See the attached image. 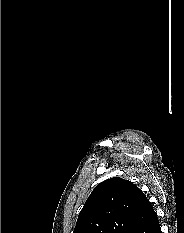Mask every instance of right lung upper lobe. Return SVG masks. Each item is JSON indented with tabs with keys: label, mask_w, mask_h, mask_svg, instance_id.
Returning a JSON list of instances; mask_svg holds the SVG:
<instances>
[{
	"label": "right lung upper lobe",
	"mask_w": 184,
	"mask_h": 233,
	"mask_svg": "<svg viewBox=\"0 0 184 233\" xmlns=\"http://www.w3.org/2000/svg\"><path fill=\"white\" fill-rule=\"evenodd\" d=\"M153 212L149 200L135 184L113 177L94 188L73 233H131Z\"/></svg>",
	"instance_id": "right-lung-upper-lobe-1"
}]
</instances>
